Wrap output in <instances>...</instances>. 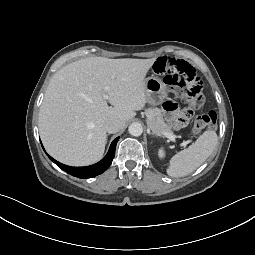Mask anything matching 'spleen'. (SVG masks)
Instances as JSON below:
<instances>
[{
  "label": "spleen",
  "instance_id": "obj_1",
  "mask_svg": "<svg viewBox=\"0 0 255 255\" xmlns=\"http://www.w3.org/2000/svg\"><path fill=\"white\" fill-rule=\"evenodd\" d=\"M215 131L207 130L195 143L175 154L169 161L167 174L171 177H183L201 166L217 146Z\"/></svg>",
  "mask_w": 255,
  "mask_h": 255
}]
</instances>
